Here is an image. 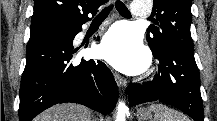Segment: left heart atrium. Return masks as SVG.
<instances>
[{
    "mask_svg": "<svg viewBox=\"0 0 217 121\" xmlns=\"http://www.w3.org/2000/svg\"><path fill=\"white\" fill-rule=\"evenodd\" d=\"M100 53L111 65L126 73H140L148 64V54L139 35L127 25H117L104 36Z\"/></svg>",
    "mask_w": 217,
    "mask_h": 121,
    "instance_id": "obj_1",
    "label": "left heart atrium"
}]
</instances>
